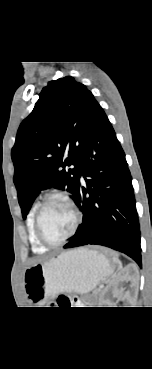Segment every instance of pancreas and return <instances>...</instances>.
I'll list each match as a JSON object with an SVG mask.
<instances>
[{"mask_svg": "<svg viewBox=\"0 0 152 369\" xmlns=\"http://www.w3.org/2000/svg\"><path fill=\"white\" fill-rule=\"evenodd\" d=\"M99 294H100L99 290L93 291L91 299L87 301V304L88 305L97 304V302H99V297H98Z\"/></svg>", "mask_w": 152, "mask_h": 369, "instance_id": "1", "label": "pancreas"}]
</instances>
